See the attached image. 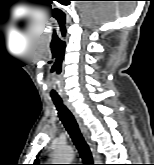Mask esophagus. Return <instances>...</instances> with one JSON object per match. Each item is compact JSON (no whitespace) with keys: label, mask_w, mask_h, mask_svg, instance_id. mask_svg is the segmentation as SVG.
Masks as SVG:
<instances>
[{"label":"esophagus","mask_w":154,"mask_h":165,"mask_svg":"<svg viewBox=\"0 0 154 165\" xmlns=\"http://www.w3.org/2000/svg\"><path fill=\"white\" fill-rule=\"evenodd\" d=\"M64 103L67 106V108L71 111V113L73 114L81 132L84 134V136L88 140V144L91 149L94 160H98V153H97L96 145L92 141L89 140V132H88V129L85 126L82 118L79 116V114L76 112L74 107L68 101L65 100Z\"/></svg>","instance_id":"esophagus-1"}]
</instances>
